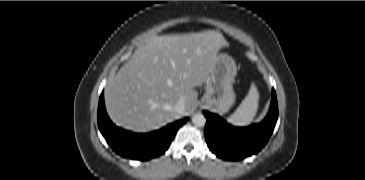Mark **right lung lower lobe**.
<instances>
[{"label": "right lung lower lobe", "mask_w": 365, "mask_h": 180, "mask_svg": "<svg viewBox=\"0 0 365 180\" xmlns=\"http://www.w3.org/2000/svg\"><path fill=\"white\" fill-rule=\"evenodd\" d=\"M187 120L186 117L151 133H132L116 127L111 122L105 109L104 92L100 95L99 130L111 148L125 158L145 161L163 154L170 146L177 130Z\"/></svg>", "instance_id": "obj_1"}]
</instances>
